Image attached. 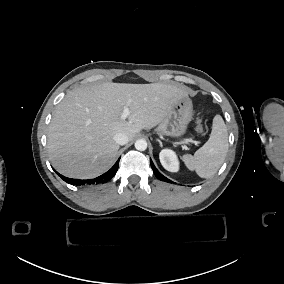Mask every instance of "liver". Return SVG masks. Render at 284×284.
<instances>
[{
	"label": "liver",
	"instance_id": "6515ba94",
	"mask_svg": "<svg viewBox=\"0 0 284 284\" xmlns=\"http://www.w3.org/2000/svg\"><path fill=\"white\" fill-rule=\"evenodd\" d=\"M188 98L176 84L105 83L82 86L57 105L48 130V152L60 173L90 178L113 164L119 144L114 135L132 141L142 129L150 130ZM131 115L122 119L124 109Z\"/></svg>",
	"mask_w": 284,
	"mask_h": 284
}]
</instances>
